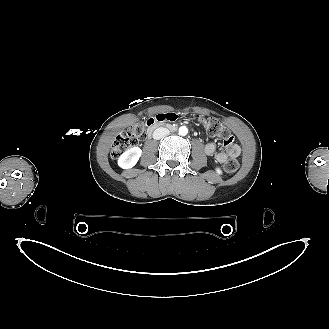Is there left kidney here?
Segmentation results:
<instances>
[{
  "label": "left kidney",
  "instance_id": "left-kidney-1",
  "mask_svg": "<svg viewBox=\"0 0 329 329\" xmlns=\"http://www.w3.org/2000/svg\"><path fill=\"white\" fill-rule=\"evenodd\" d=\"M216 172H217L218 174H222V171H221L220 168H216Z\"/></svg>",
  "mask_w": 329,
  "mask_h": 329
}]
</instances>
